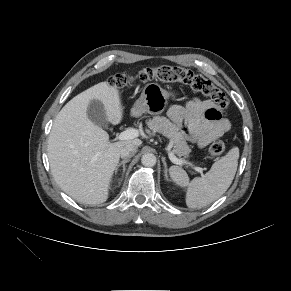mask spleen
<instances>
[{
  "label": "spleen",
  "instance_id": "obj_1",
  "mask_svg": "<svg viewBox=\"0 0 291 291\" xmlns=\"http://www.w3.org/2000/svg\"><path fill=\"white\" fill-rule=\"evenodd\" d=\"M239 149L232 148L216 161L202 177L189 181L185 170L178 166L170 167V177L178 186L186 188V205L189 208H202L219 199L230 187L237 171Z\"/></svg>",
  "mask_w": 291,
  "mask_h": 291
}]
</instances>
